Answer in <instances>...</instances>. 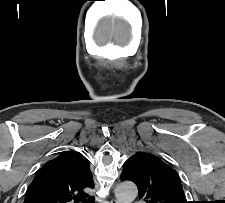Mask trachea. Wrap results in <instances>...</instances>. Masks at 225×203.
I'll use <instances>...</instances> for the list:
<instances>
[{"mask_svg":"<svg viewBox=\"0 0 225 203\" xmlns=\"http://www.w3.org/2000/svg\"><path fill=\"white\" fill-rule=\"evenodd\" d=\"M80 200L82 201V203H86L84 198H81Z\"/></svg>","mask_w":225,"mask_h":203,"instance_id":"1","label":"trachea"}]
</instances>
